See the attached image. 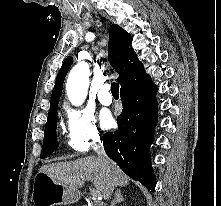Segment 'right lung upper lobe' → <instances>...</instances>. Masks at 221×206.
<instances>
[{"mask_svg":"<svg viewBox=\"0 0 221 206\" xmlns=\"http://www.w3.org/2000/svg\"><path fill=\"white\" fill-rule=\"evenodd\" d=\"M132 37L124 29L116 24L111 25L109 30V61L116 72L119 73L117 81L121 86L143 70L142 63L138 60L135 51L131 47ZM73 63V58L68 57L58 75L51 95V106L49 113L57 106L61 96L65 76Z\"/></svg>","mask_w":221,"mask_h":206,"instance_id":"obj_1","label":"right lung upper lobe"}]
</instances>
